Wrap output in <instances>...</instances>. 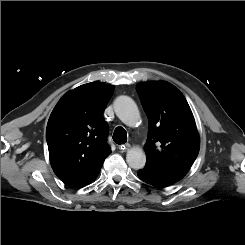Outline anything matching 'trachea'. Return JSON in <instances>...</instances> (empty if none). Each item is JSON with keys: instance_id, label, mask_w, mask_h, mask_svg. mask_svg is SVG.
<instances>
[{"instance_id": "3493384b", "label": "trachea", "mask_w": 245, "mask_h": 245, "mask_svg": "<svg viewBox=\"0 0 245 245\" xmlns=\"http://www.w3.org/2000/svg\"><path fill=\"white\" fill-rule=\"evenodd\" d=\"M113 140L117 144H124L127 141V132L123 127H117L113 134Z\"/></svg>"}]
</instances>
